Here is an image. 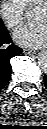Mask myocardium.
<instances>
[{
    "instance_id": "f54148a6",
    "label": "myocardium",
    "mask_w": 47,
    "mask_h": 129,
    "mask_svg": "<svg viewBox=\"0 0 47 129\" xmlns=\"http://www.w3.org/2000/svg\"><path fill=\"white\" fill-rule=\"evenodd\" d=\"M38 8H44V10L47 12V0H44L42 3H40ZM47 14V13H46Z\"/></svg>"
}]
</instances>
